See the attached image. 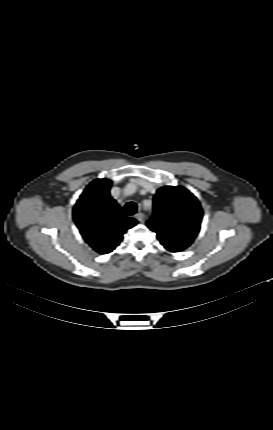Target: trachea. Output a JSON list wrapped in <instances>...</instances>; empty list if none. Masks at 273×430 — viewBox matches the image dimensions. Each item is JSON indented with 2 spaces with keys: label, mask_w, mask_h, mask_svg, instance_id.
Masks as SVG:
<instances>
[{
  "label": "trachea",
  "mask_w": 273,
  "mask_h": 430,
  "mask_svg": "<svg viewBox=\"0 0 273 430\" xmlns=\"http://www.w3.org/2000/svg\"><path fill=\"white\" fill-rule=\"evenodd\" d=\"M125 210L127 215H133L137 211V204L134 202H129L126 204Z\"/></svg>",
  "instance_id": "trachea-1"
}]
</instances>
